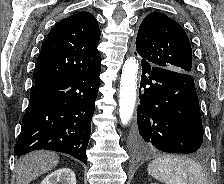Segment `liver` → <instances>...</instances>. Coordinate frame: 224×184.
Listing matches in <instances>:
<instances>
[{
  "label": "liver",
  "mask_w": 224,
  "mask_h": 184,
  "mask_svg": "<svg viewBox=\"0 0 224 184\" xmlns=\"http://www.w3.org/2000/svg\"><path fill=\"white\" fill-rule=\"evenodd\" d=\"M59 162V156L50 151H35L23 156L16 164L17 184H29L41 174L51 171Z\"/></svg>",
  "instance_id": "obj_1"
}]
</instances>
